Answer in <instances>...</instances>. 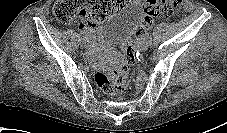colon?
Segmentation results:
<instances>
[{
	"mask_svg": "<svg viewBox=\"0 0 227 133\" xmlns=\"http://www.w3.org/2000/svg\"><path fill=\"white\" fill-rule=\"evenodd\" d=\"M125 3L126 0H56L53 12L64 24H69L76 18L82 23L91 24L106 20ZM182 5V0H145L138 32L150 28L154 20L160 16L171 17L178 14ZM136 54L135 45L130 41L127 42L119 67L109 73H95L94 81L98 88L108 95L124 91L134 77V71L130 67L136 62Z\"/></svg>",
	"mask_w": 227,
	"mask_h": 133,
	"instance_id": "colon-1",
	"label": "colon"
}]
</instances>
